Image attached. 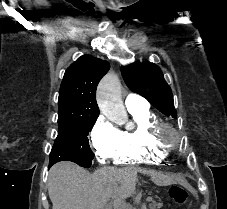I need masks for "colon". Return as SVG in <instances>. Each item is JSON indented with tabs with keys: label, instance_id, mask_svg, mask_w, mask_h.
<instances>
[{
	"label": "colon",
	"instance_id": "5ec220e1",
	"mask_svg": "<svg viewBox=\"0 0 227 209\" xmlns=\"http://www.w3.org/2000/svg\"><path fill=\"white\" fill-rule=\"evenodd\" d=\"M170 196L175 203L184 204L187 202L189 193L184 187L175 185L170 190Z\"/></svg>",
	"mask_w": 227,
	"mask_h": 209
}]
</instances>
